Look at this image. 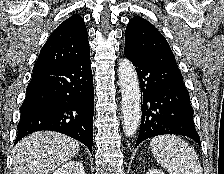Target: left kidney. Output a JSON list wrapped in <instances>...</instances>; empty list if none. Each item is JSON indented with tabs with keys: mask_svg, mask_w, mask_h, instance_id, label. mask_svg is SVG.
<instances>
[{
	"mask_svg": "<svg viewBox=\"0 0 224 174\" xmlns=\"http://www.w3.org/2000/svg\"><path fill=\"white\" fill-rule=\"evenodd\" d=\"M146 174H164L163 172H161L160 170H158V169H149L148 171H147V173Z\"/></svg>",
	"mask_w": 224,
	"mask_h": 174,
	"instance_id": "1",
	"label": "left kidney"
}]
</instances>
